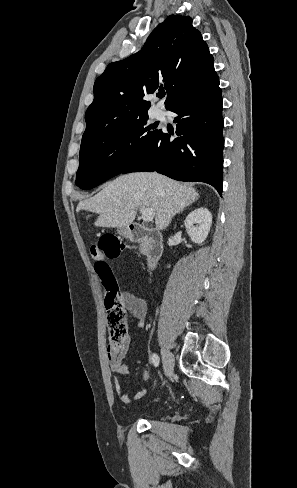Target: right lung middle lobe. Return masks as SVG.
Wrapping results in <instances>:
<instances>
[{"label": "right lung middle lobe", "instance_id": "right-lung-middle-lobe-1", "mask_svg": "<svg viewBox=\"0 0 297 488\" xmlns=\"http://www.w3.org/2000/svg\"><path fill=\"white\" fill-rule=\"evenodd\" d=\"M147 121L143 116L104 135L83 138L76 185L94 188L136 161L160 131Z\"/></svg>", "mask_w": 297, "mask_h": 488}]
</instances>
